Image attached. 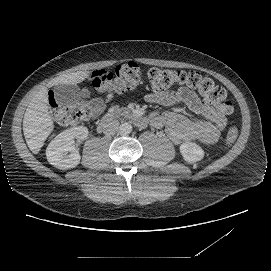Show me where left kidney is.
<instances>
[{
  "mask_svg": "<svg viewBox=\"0 0 271 271\" xmlns=\"http://www.w3.org/2000/svg\"><path fill=\"white\" fill-rule=\"evenodd\" d=\"M180 153L187 163H195L204 157L203 149L193 142H184L180 145Z\"/></svg>",
  "mask_w": 271,
  "mask_h": 271,
  "instance_id": "left-kidney-1",
  "label": "left kidney"
}]
</instances>
